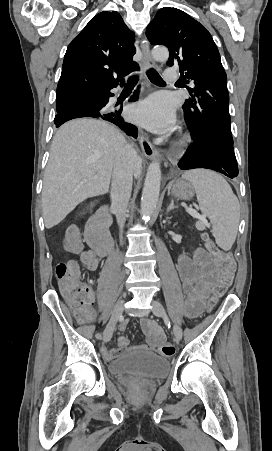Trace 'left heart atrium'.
Masks as SVG:
<instances>
[{"label": "left heart atrium", "mask_w": 272, "mask_h": 451, "mask_svg": "<svg viewBox=\"0 0 272 451\" xmlns=\"http://www.w3.org/2000/svg\"><path fill=\"white\" fill-rule=\"evenodd\" d=\"M128 114L133 120L157 132L168 130L174 123L173 105L160 95L133 106Z\"/></svg>", "instance_id": "39dd6f15"}]
</instances>
